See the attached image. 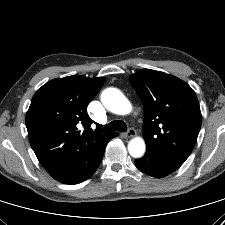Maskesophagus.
Listing matches in <instances>:
<instances>
[{
	"label": "esophagus",
	"mask_w": 225,
	"mask_h": 225,
	"mask_svg": "<svg viewBox=\"0 0 225 225\" xmlns=\"http://www.w3.org/2000/svg\"><path fill=\"white\" fill-rule=\"evenodd\" d=\"M135 135H136V131H135V129H133V128H130V129L128 130V132L122 134V136H123L124 138H131V137H134Z\"/></svg>",
	"instance_id": "34e87169"
}]
</instances>
